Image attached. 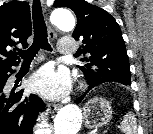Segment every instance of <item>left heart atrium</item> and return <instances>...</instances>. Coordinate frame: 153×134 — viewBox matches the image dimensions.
Here are the masks:
<instances>
[{
  "mask_svg": "<svg viewBox=\"0 0 153 134\" xmlns=\"http://www.w3.org/2000/svg\"><path fill=\"white\" fill-rule=\"evenodd\" d=\"M30 88L50 99L63 98L70 90V77L64 69L50 65L40 68L30 79Z\"/></svg>",
  "mask_w": 153,
  "mask_h": 134,
  "instance_id": "1",
  "label": "left heart atrium"
}]
</instances>
